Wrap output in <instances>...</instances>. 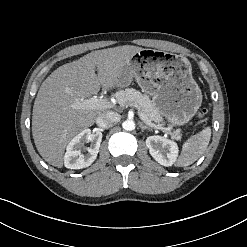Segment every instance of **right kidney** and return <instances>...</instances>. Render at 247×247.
<instances>
[{"label": "right kidney", "instance_id": "right-kidney-1", "mask_svg": "<svg viewBox=\"0 0 247 247\" xmlns=\"http://www.w3.org/2000/svg\"><path fill=\"white\" fill-rule=\"evenodd\" d=\"M102 133L85 129L75 136L68 144L64 156V165L68 169H82L90 166L99 152ZM91 142V146L84 148V144ZM87 153L83 154L82 151Z\"/></svg>", "mask_w": 247, "mask_h": 247}]
</instances>
